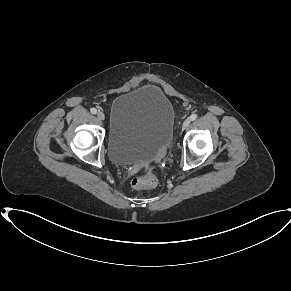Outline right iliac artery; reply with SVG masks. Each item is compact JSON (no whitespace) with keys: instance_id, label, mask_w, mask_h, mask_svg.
Segmentation results:
<instances>
[{"instance_id":"obj_1","label":"right iliac artery","mask_w":291,"mask_h":291,"mask_svg":"<svg viewBox=\"0 0 291 291\" xmlns=\"http://www.w3.org/2000/svg\"><path fill=\"white\" fill-rule=\"evenodd\" d=\"M90 112H91L92 114H96V113H97V110H96L95 108H91Z\"/></svg>"}]
</instances>
